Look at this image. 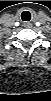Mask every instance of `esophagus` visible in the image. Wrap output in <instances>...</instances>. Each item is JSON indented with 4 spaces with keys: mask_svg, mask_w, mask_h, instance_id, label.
<instances>
[{
    "mask_svg": "<svg viewBox=\"0 0 51 101\" xmlns=\"http://www.w3.org/2000/svg\"><path fill=\"white\" fill-rule=\"evenodd\" d=\"M23 26H24L25 28H30V27H32V23H30V22H24V23H23Z\"/></svg>",
    "mask_w": 51,
    "mask_h": 101,
    "instance_id": "34e87169",
    "label": "esophagus"
}]
</instances>
